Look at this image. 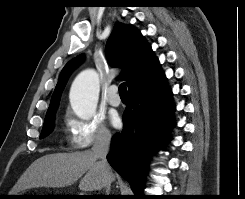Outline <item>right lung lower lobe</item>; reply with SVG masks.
<instances>
[{
    "label": "right lung lower lobe",
    "instance_id": "obj_1",
    "mask_svg": "<svg viewBox=\"0 0 245 199\" xmlns=\"http://www.w3.org/2000/svg\"><path fill=\"white\" fill-rule=\"evenodd\" d=\"M128 98L123 130L113 136L107 159L139 196L147 164L164 140L163 128L170 127L174 106L165 78L146 91L130 92Z\"/></svg>",
    "mask_w": 245,
    "mask_h": 199
}]
</instances>
